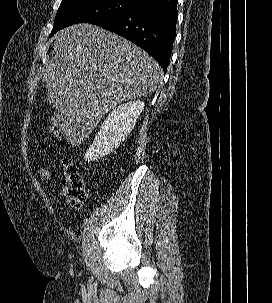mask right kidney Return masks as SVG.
<instances>
[{
  "label": "right kidney",
  "mask_w": 272,
  "mask_h": 303,
  "mask_svg": "<svg viewBox=\"0 0 272 303\" xmlns=\"http://www.w3.org/2000/svg\"><path fill=\"white\" fill-rule=\"evenodd\" d=\"M144 109V102L131 101L115 108L100 127L84 159L88 162L103 158L119 147L134 128Z\"/></svg>",
  "instance_id": "right-kidney-1"
}]
</instances>
